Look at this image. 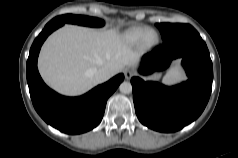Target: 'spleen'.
<instances>
[{
    "label": "spleen",
    "mask_w": 238,
    "mask_h": 158,
    "mask_svg": "<svg viewBox=\"0 0 238 158\" xmlns=\"http://www.w3.org/2000/svg\"><path fill=\"white\" fill-rule=\"evenodd\" d=\"M184 79L185 76L182 69L179 66H174L166 73L162 82L166 85H172L174 83L183 81Z\"/></svg>",
    "instance_id": "spleen-1"
}]
</instances>
